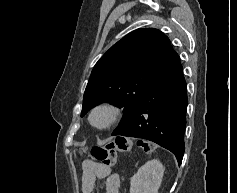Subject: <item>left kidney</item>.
I'll use <instances>...</instances> for the list:
<instances>
[{
  "mask_svg": "<svg viewBox=\"0 0 237 193\" xmlns=\"http://www.w3.org/2000/svg\"><path fill=\"white\" fill-rule=\"evenodd\" d=\"M164 174V167L158 160L146 162L131 178L130 193H158Z\"/></svg>",
  "mask_w": 237,
  "mask_h": 193,
  "instance_id": "1",
  "label": "left kidney"
}]
</instances>
